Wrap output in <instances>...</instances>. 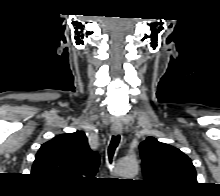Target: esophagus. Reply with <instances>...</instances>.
Returning <instances> with one entry per match:
<instances>
[{"mask_svg": "<svg viewBox=\"0 0 220 196\" xmlns=\"http://www.w3.org/2000/svg\"><path fill=\"white\" fill-rule=\"evenodd\" d=\"M111 131L114 133V134H120L122 132V128L119 127V126H111Z\"/></svg>", "mask_w": 220, "mask_h": 196, "instance_id": "1", "label": "esophagus"}]
</instances>
